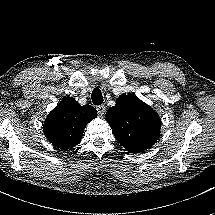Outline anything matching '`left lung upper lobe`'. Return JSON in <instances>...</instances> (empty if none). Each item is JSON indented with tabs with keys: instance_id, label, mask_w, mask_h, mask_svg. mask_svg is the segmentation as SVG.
<instances>
[{
	"instance_id": "1",
	"label": "left lung upper lobe",
	"mask_w": 215,
	"mask_h": 215,
	"mask_svg": "<svg viewBox=\"0 0 215 215\" xmlns=\"http://www.w3.org/2000/svg\"><path fill=\"white\" fill-rule=\"evenodd\" d=\"M106 120L115 138L130 153L150 148L160 135L159 115L134 95H121L109 108Z\"/></svg>"
}]
</instances>
